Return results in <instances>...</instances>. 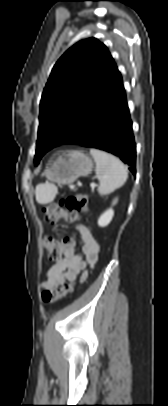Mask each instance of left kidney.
<instances>
[{"mask_svg": "<svg viewBox=\"0 0 168 406\" xmlns=\"http://www.w3.org/2000/svg\"><path fill=\"white\" fill-rule=\"evenodd\" d=\"M116 202H117V200H115V201L113 202V204H115ZM113 216H114V211H113L112 208L106 210V211L99 217V219H98V225L101 226V227L107 226V225L111 222Z\"/></svg>", "mask_w": 168, "mask_h": 406, "instance_id": "5707ae66", "label": "left kidney"}]
</instances>
